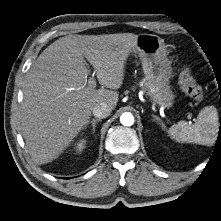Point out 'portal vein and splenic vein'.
<instances>
[{
  "mask_svg": "<svg viewBox=\"0 0 221 221\" xmlns=\"http://www.w3.org/2000/svg\"><path fill=\"white\" fill-rule=\"evenodd\" d=\"M94 74H95V72H93V75L92 76H94ZM90 85H91V87H95V85H96V82L94 81V80H91L90 82Z\"/></svg>",
  "mask_w": 221,
  "mask_h": 221,
  "instance_id": "obj_1",
  "label": "portal vein and splenic vein"
}]
</instances>
